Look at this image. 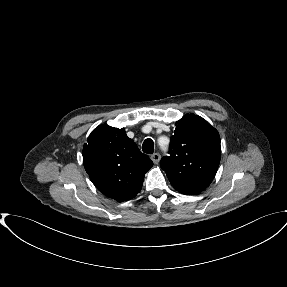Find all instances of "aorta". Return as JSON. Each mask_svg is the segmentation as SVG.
Wrapping results in <instances>:
<instances>
[{"instance_id": "1", "label": "aorta", "mask_w": 287, "mask_h": 287, "mask_svg": "<svg viewBox=\"0 0 287 287\" xmlns=\"http://www.w3.org/2000/svg\"><path fill=\"white\" fill-rule=\"evenodd\" d=\"M159 144H160L162 147H164V145L161 143V140H159Z\"/></svg>"}]
</instances>
